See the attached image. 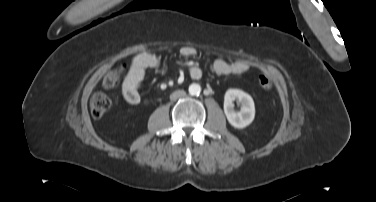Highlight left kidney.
<instances>
[{"label":"left kidney","mask_w":376,"mask_h":202,"mask_svg":"<svg viewBox=\"0 0 376 202\" xmlns=\"http://www.w3.org/2000/svg\"><path fill=\"white\" fill-rule=\"evenodd\" d=\"M234 100L241 104L239 112L234 110ZM224 112L229 123L235 128H245L255 117V105L252 97L239 89H228L224 95Z\"/></svg>","instance_id":"5707ae66"}]
</instances>
